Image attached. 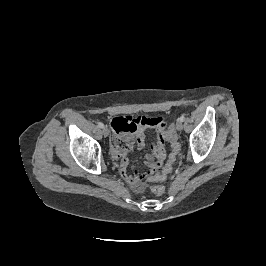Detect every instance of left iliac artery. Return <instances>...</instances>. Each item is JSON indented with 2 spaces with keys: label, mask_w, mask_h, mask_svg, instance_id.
Returning <instances> with one entry per match:
<instances>
[{
  "label": "left iliac artery",
  "mask_w": 266,
  "mask_h": 266,
  "mask_svg": "<svg viewBox=\"0 0 266 266\" xmlns=\"http://www.w3.org/2000/svg\"><path fill=\"white\" fill-rule=\"evenodd\" d=\"M179 120L183 122L185 120V117L182 115Z\"/></svg>",
  "instance_id": "left-iliac-artery-1"
}]
</instances>
